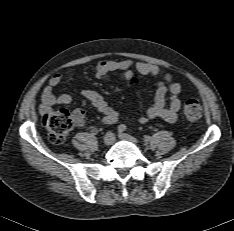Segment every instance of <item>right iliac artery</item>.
<instances>
[{
    "mask_svg": "<svg viewBox=\"0 0 234 231\" xmlns=\"http://www.w3.org/2000/svg\"><path fill=\"white\" fill-rule=\"evenodd\" d=\"M102 122L104 124H114V123L118 122V118H112V119H105V118H103Z\"/></svg>",
    "mask_w": 234,
    "mask_h": 231,
    "instance_id": "obj_1",
    "label": "right iliac artery"
}]
</instances>
